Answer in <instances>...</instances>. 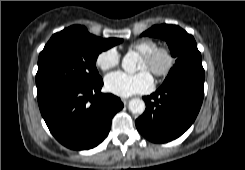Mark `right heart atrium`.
I'll list each match as a JSON object with an SVG mask.
<instances>
[{
    "label": "right heart atrium",
    "mask_w": 245,
    "mask_h": 170,
    "mask_svg": "<svg viewBox=\"0 0 245 170\" xmlns=\"http://www.w3.org/2000/svg\"><path fill=\"white\" fill-rule=\"evenodd\" d=\"M121 60L120 53L116 48H108L100 52L95 60L96 66L101 70H109L116 67Z\"/></svg>",
    "instance_id": "1"
}]
</instances>
